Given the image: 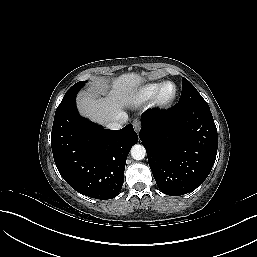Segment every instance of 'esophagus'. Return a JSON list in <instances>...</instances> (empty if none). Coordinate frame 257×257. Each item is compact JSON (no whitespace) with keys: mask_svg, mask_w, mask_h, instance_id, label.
Listing matches in <instances>:
<instances>
[{"mask_svg":"<svg viewBox=\"0 0 257 257\" xmlns=\"http://www.w3.org/2000/svg\"><path fill=\"white\" fill-rule=\"evenodd\" d=\"M133 127H134V130L138 133L140 131V128H141L140 121L139 120H134Z\"/></svg>","mask_w":257,"mask_h":257,"instance_id":"obj_1","label":"esophagus"}]
</instances>
